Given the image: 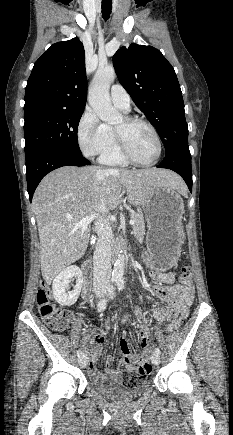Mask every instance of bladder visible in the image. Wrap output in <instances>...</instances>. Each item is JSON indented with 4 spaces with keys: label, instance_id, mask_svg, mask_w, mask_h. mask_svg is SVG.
I'll return each mask as SVG.
<instances>
[{
    "label": "bladder",
    "instance_id": "bladder-1",
    "mask_svg": "<svg viewBox=\"0 0 233 435\" xmlns=\"http://www.w3.org/2000/svg\"><path fill=\"white\" fill-rule=\"evenodd\" d=\"M148 388V383H138L128 389L124 387V384L116 382H105L97 386L100 393L114 400L134 399Z\"/></svg>",
    "mask_w": 233,
    "mask_h": 435
}]
</instances>
